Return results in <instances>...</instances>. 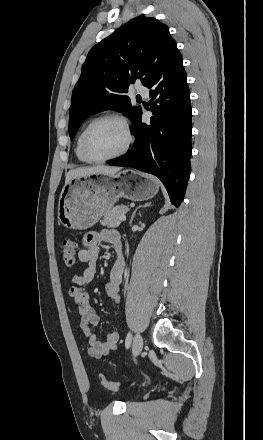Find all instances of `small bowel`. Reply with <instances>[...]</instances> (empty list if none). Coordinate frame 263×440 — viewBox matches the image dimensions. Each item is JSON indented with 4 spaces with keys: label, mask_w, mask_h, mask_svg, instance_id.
Masks as SVG:
<instances>
[{
    "label": "small bowel",
    "mask_w": 263,
    "mask_h": 440,
    "mask_svg": "<svg viewBox=\"0 0 263 440\" xmlns=\"http://www.w3.org/2000/svg\"><path fill=\"white\" fill-rule=\"evenodd\" d=\"M102 243L112 245L118 253V257L110 271L106 293L112 304H119V286L125 270V260L122 255L121 236L116 230L105 229L85 235L83 248L78 250L77 256L81 262L86 264V267L80 275L72 277L69 288V295L73 299L80 315V329L88 342V354L94 358H100L114 350L120 337L118 331L109 333L105 340H100L95 334V327L99 323V318L90 303L87 287L95 277L100 244Z\"/></svg>",
    "instance_id": "c3829d8e"
}]
</instances>
